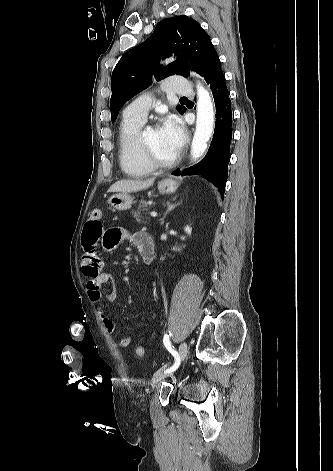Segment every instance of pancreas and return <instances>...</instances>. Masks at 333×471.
<instances>
[{"label":"pancreas","instance_id":"obj_1","mask_svg":"<svg viewBox=\"0 0 333 471\" xmlns=\"http://www.w3.org/2000/svg\"><path fill=\"white\" fill-rule=\"evenodd\" d=\"M148 208V204L146 201L142 200L138 206V208L135 211H132V214L134 218H136L137 222L139 223H147V221H144V217L142 215V212ZM146 220H149L146 218Z\"/></svg>","mask_w":333,"mask_h":471}]
</instances>
